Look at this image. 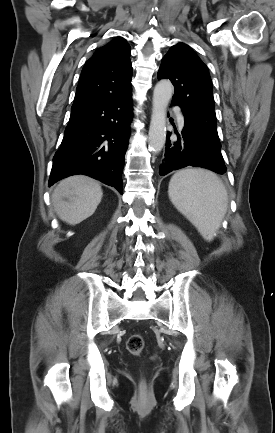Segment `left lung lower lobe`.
Returning <instances> with one entry per match:
<instances>
[{
  "label": "left lung lower lobe",
  "mask_w": 275,
  "mask_h": 433,
  "mask_svg": "<svg viewBox=\"0 0 275 433\" xmlns=\"http://www.w3.org/2000/svg\"><path fill=\"white\" fill-rule=\"evenodd\" d=\"M172 105L180 104L172 101ZM174 132L177 134L174 142L169 139L171 133H167L165 158L159 170L161 176L186 166L202 167L219 174L226 172L227 168L211 141L200 132L186 126L181 133Z\"/></svg>",
  "instance_id": "obj_1"
}]
</instances>
